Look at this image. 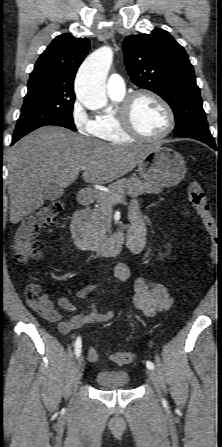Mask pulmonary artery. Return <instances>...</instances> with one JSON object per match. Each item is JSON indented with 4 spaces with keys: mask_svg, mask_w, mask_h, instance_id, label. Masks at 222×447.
<instances>
[{
    "mask_svg": "<svg viewBox=\"0 0 222 447\" xmlns=\"http://www.w3.org/2000/svg\"><path fill=\"white\" fill-rule=\"evenodd\" d=\"M107 91L112 95H122L125 92V82L119 74H112L107 81Z\"/></svg>",
    "mask_w": 222,
    "mask_h": 447,
    "instance_id": "e3ab8cb5",
    "label": "pulmonary artery"
}]
</instances>
